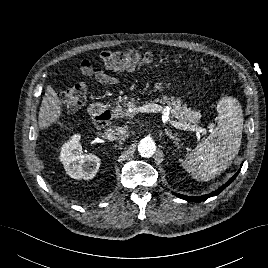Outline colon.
Returning a JSON list of instances; mask_svg holds the SVG:
<instances>
[{
  "label": "colon",
  "instance_id": "obj_1",
  "mask_svg": "<svg viewBox=\"0 0 268 268\" xmlns=\"http://www.w3.org/2000/svg\"><path fill=\"white\" fill-rule=\"evenodd\" d=\"M152 61L153 55L150 52L137 50L105 51L100 56L101 65L110 70H132L149 65ZM58 98L68 111L74 112L86 102L87 86L76 84L60 91Z\"/></svg>",
  "mask_w": 268,
  "mask_h": 268
}]
</instances>
